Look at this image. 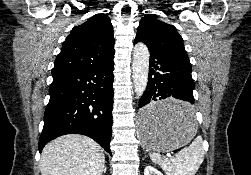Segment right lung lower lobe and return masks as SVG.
<instances>
[{
    "mask_svg": "<svg viewBox=\"0 0 251 175\" xmlns=\"http://www.w3.org/2000/svg\"><path fill=\"white\" fill-rule=\"evenodd\" d=\"M114 62L53 76L39 150L65 134L91 137L108 153L112 135Z\"/></svg>",
    "mask_w": 251,
    "mask_h": 175,
    "instance_id": "right-lung-lower-lobe-1",
    "label": "right lung lower lobe"
}]
</instances>
